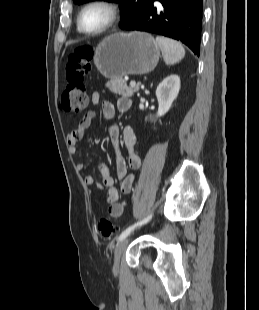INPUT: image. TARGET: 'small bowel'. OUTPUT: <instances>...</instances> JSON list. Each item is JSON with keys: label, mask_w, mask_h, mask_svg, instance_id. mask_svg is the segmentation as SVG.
<instances>
[{"label": "small bowel", "mask_w": 259, "mask_h": 310, "mask_svg": "<svg viewBox=\"0 0 259 310\" xmlns=\"http://www.w3.org/2000/svg\"><path fill=\"white\" fill-rule=\"evenodd\" d=\"M91 102L94 105L100 103V96L98 93L94 92L92 94ZM101 105L104 117L107 120H112L115 114L114 105L109 101H103ZM130 106L131 101L128 98L122 97L118 100L117 108L120 111H126ZM95 115L94 111L87 112L79 122L77 128L67 135V144L71 155H76L77 144L84 138L86 131L95 118ZM108 133L110 142L115 150L116 171L119 179H121L120 190L115 186L110 169L106 164H101L99 166L101 181H96L92 175H86L84 181L87 185H95L97 188L105 187L107 189L106 201L109 205V213L112 217L119 218L123 215L127 207L125 202L119 201L120 192L123 194L131 193L135 184V176L133 174H127V169L128 167L133 170L139 169L141 166V159L135 150L136 137L130 127H124L122 130V138L128 150L127 160L121 153L120 128L112 123L109 126ZM76 167L78 170H82L84 164L78 162Z\"/></svg>", "instance_id": "obj_1"}]
</instances>
